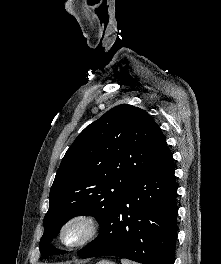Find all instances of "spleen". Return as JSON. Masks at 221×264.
<instances>
[{"label": "spleen", "instance_id": "1", "mask_svg": "<svg viewBox=\"0 0 221 264\" xmlns=\"http://www.w3.org/2000/svg\"><path fill=\"white\" fill-rule=\"evenodd\" d=\"M121 263H122V264H138V263H136V262H131V261H128V260H126V259H122V260H121Z\"/></svg>", "mask_w": 221, "mask_h": 264}]
</instances>
